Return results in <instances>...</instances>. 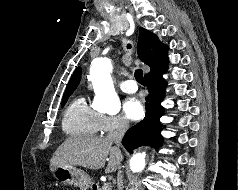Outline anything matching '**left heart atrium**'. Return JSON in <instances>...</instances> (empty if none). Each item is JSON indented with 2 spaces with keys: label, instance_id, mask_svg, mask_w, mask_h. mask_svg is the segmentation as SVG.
<instances>
[{
  "label": "left heart atrium",
  "instance_id": "1",
  "mask_svg": "<svg viewBox=\"0 0 238 190\" xmlns=\"http://www.w3.org/2000/svg\"><path fill=\"white\" fill-rule=\"evenodd\" d=\"M124 111L130 119L138 120L144 114V107L139 99L133 97L125 101Z\"/></svg>",
  "mask_w": 238,
  "mask_h": 190
}]
</instances>
